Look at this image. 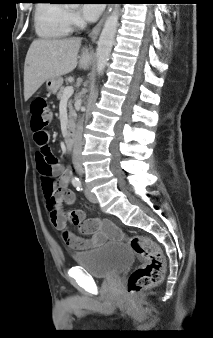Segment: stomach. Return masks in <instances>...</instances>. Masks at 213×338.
Returning a JSON list of instances; mask_svg holds the SVG:
<instances>
[{"mask_svg": "<svg viewBox=\"0 0 213 338\" xmlns=\"http://www.w3.org/2000/svg\"><path fill=\"white\" fill-rule=\"evenodd\" d=\"M62 83H63V78L61 76L50 78L46 81L47 90L50 93L55 94L57 90L61 87Z\"/></svg>", "mask_w": 213, "mask_h": 338, "instance_id": "obj_1", "label": "stomach"}]
</instances>
